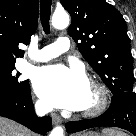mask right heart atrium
Returning a JSON list of instances; mask_svg holds the SVG:
<instances>
[{
  "mask_svg": "<svg viewBox=\"0 0 136 136\" xmlns=\"http://www.w3.org/2000/svg\"><path fill=\"white\" fill-rule=\"evenodd\" d=\"M36 108H37L38 110H40V111L46 110L45 104H43V103L40 102V101H37V102H36Z\"/></svg>",
  "mask_w": 136,
  "mask_h": 136,
  "instance_id": "right-heart-atrium-1",
  "label": "right heart atrium"
}]
</instances>
